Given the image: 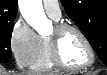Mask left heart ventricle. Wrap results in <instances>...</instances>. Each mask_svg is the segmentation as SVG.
<instances>
[{"label": "left heart ventricle", "mask_w": 107, "mask_h": 75, "mask_svg": "<svg viewBox=\"0 0 107 75\" xmlns=\"http://www.w3.org/2000/svg\"><path fill=\"white\" fill-rule=\"evenodd\" d=\"M54 34H51V36ZM60 50L64 61L72 66H80L88 62L89 53L81 40L74 31H66L60 38Z\"/></svg>", "instance_id": "obj_1"}]
</instances>
